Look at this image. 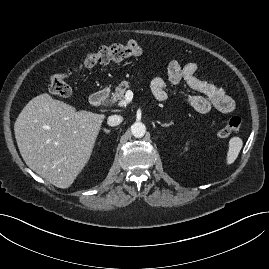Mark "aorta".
<instances>
[{
    "instance_id": "obj_1",
    "label": "aorta",
    "mask_w": 269,
    "mask_h": 269,
    "mask_svg": "<svg viewBox=\"0 0 269 269\" xmlns=\"http://www.w3.org/2000/svg\"><path fill=\"white\" fill-rule=\"evenodd\" d=\"M132 135L136 138H141L145 135L146 127L142 122H135L131 126Z\"/></svg>"
}]
</instances>
